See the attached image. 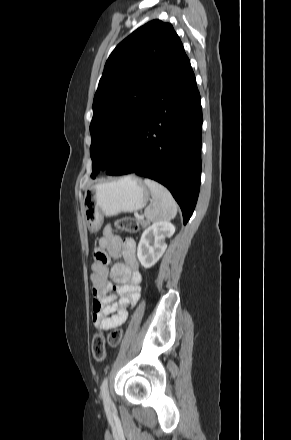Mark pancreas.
<instances>
[{
  "instance_id": "pancreas-1",
  "label": "pancreas",
  "mask_w": 291,
  "mask_h": 440,
  "mask_svg": "<svg viewBox=\"0 0 291 440\" xmlns=\"http://www.w3.org/2000/svg\"><path fill=\"white\" fill-rule=\"evenodd\" d=\"M137 224L144 228L149 224V222L145 221L144 219H137Z\"/></svg>"
}]
</instances>
